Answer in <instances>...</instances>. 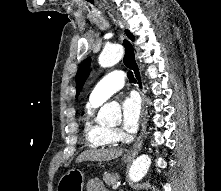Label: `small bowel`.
<instances>
[{
	"label": "small bowel",
	"instance_id": "1",
	"mask_svg": "<svg viewBox=\"0 0 221 191\" xmlns=\"http://www.w3.org/2000/svg\"><path fill=\"white\" fill-rule=\"evenodd\" d=\"M86 189L87 191H107L103 183L97 178L90 179L87 182Z\"/></svg>",
	"mask_w": 221,
	"mask_h": 191
}]
</instances>
